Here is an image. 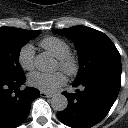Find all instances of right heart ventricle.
Returning <instances> with one entry per match:
<instances>
[{
	"label": "right heart ventricle",
	"mask_w": 128,
	"mask_h": 128,
	"mask_svg": "<svg viewBox=\"0 0 128 128\" xmlns=\"http://www.w3.org/2000/svg\"><path fill=\"white\" fill-rule=\"evenodd\" d=\"M40 46L54 57L61 58L69 52L68 44L61 38L49 36L41 40Z\"/></svg>",
	"instance_id": "obj_1"
}]
</instances>
